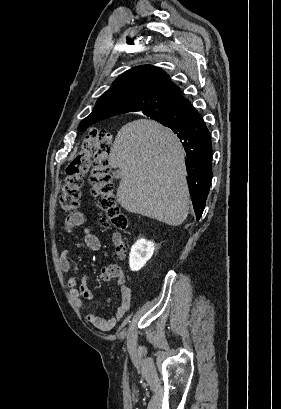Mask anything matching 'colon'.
Returning a JSON list of instances; mask_svg holds the SVG:
<instances>
[{"instance_id":"5ec220e1","label":"colon","mask_w":281,"mask_h":409,"mask_svg":"<svg viewBox=\"0 0 281 409\" xmlns=\"http://www.w3.org/2000/svg\"><path fill=\"white\" fill-rule=\"evenodd\" d=\"M113 136L106 130H92L82 146L66 165L61 186L60 207L63 213L73 214L80 204V189L89 164L92 165V192L96 205L103 214L102 220L115 229H123L128 219L121 213L112 192L113 178L109 168V156L113 150Z\"/></svg>"}]
</instances>
